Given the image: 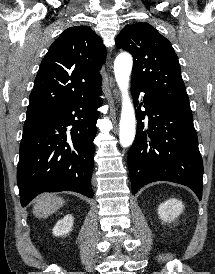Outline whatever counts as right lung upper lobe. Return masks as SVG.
I'll use <instances>...</instances> for the list:
<instances>
[{
  "instance_id": "right-lung-upper-lobe-1",
  "label": "right lung upper lobe",
  "mask_w": 215,
  "mask_h": 274,
  "mask_svg": "<svg viewBox=\"0 0 215 274\" xmlns=\"http://www.w3.org/2000/svg\"><path fill=\"white\" fill-rule=\"evenodd\" d=\"M106 50L88 26L70 27L50 46L41 62L27 112H52L101 82Z\"/></svg>"
}]
</instances>
